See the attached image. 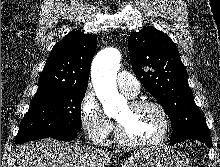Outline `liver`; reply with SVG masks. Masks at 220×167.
<instances>
[{
  "instance_id": "6515ba94",
  "label": "liver",
  "mask_w": 220,
  "mask_h": 167,
  "mask_svg": "<svg viewBox=\"0 0 220 167\" xmlns=\"http://www.w3.org/2000/svg\"><path fill=\"white\" fill-rule=\"evenodd\" d=\"M115 152L42 139L19 145L13 167H107Z\"/></svg>"
}]
</instances>
